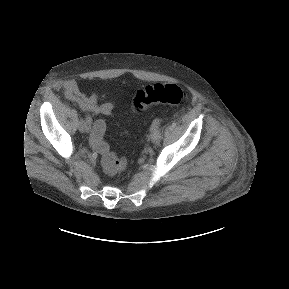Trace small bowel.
Returning <instances> with one entry per match:
<instances>
[{
	"label": "small bowel",
	"instance_id": "small-bowel-1",
	"mask_svg": "<svg viewBox=\"0 0 289 289\" xmlns=\"http://www.w3.org/2000/svg\"><path fill=\"white\" fill-rule=\"evenodd\" d=\"M64 94L67 99L77 103L82 110L91 112L96 115L110 116L114 110L113 102H98V95L93 93L91 95H85L81 92L78 83L75 80H67L64 85ZM94 127L92 129V134Z\"/></svg>",
	"mask_w": 289,
	"mask_h": 289
}]
</instances>
